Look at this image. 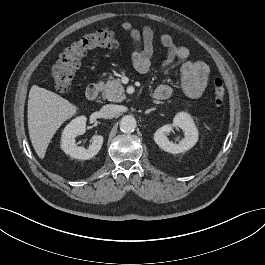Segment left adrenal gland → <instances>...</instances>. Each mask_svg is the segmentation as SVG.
I'll list each match as a JSON object with an SVG mask.
<instances>
[{
	"instance_id": "a2214340",
	"label": "left adrenal gland",
	"mask_w": 265,
	"mask_h": 265,
	"mask_svg": "<svg viewBox=\"0 0 265 265\" xmlns=\"http://www.w3.org/2000/svg\"><path fill=\"white\" fill-rule=\"evenodd\" d=\"M156 110V108H151V109H148L145 111V114H149L151 113L152 111Z\"/></svg>"
}]
</instances>
